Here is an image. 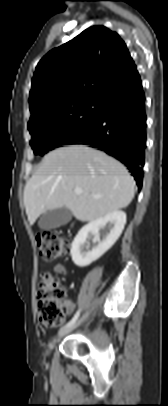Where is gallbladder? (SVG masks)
<instances>
[{"label":"gallbladder","instance_id":"gallbladder-1","mask_svg":"<svg viewBox=\"0 0 168 406\" xmlns=\"http://www.w3.org/2000/svg\"><path fill=\"white\" fill-rule=\"evenodd\" d=\"M71 218V211L66 207H61L45 212L41 216L38 226L41 229L50 230L67 224Z\"/></svg>","mask_w":168,"mask_h":406}]
</instances>
